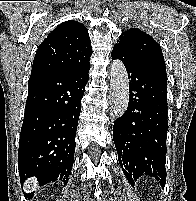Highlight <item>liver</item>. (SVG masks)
Masks as SVG:
<instances>
[{
	"label": "liver",
	"instance_id": "liver-1",
	"mask_svg": "<svg viewBox=\"0 0 196 201\" xmlns=\"http://www.w3.org/2000/svg\"><path fill=\"white\" fill-rule=\"evenodd\" d=\"M31 180H28L27 182L30 183Z\"/></svg>",
	"mask_w": 196,
	"mask_h": 201
}]
</instances>
